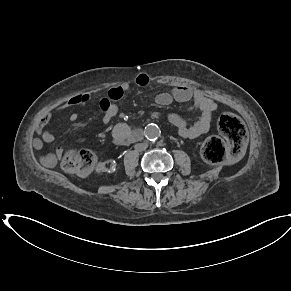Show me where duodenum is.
Wrapping results in <instances>:
<instances>
[{"label": "duodenum", "instance_id": "1", "mask_svg": "<svg viewBox=\"0 0 291 291\" xmlns=\"http://www.w3.org/2000/svg\"><path fill=\"white\" fill-rule=\"evenodd\" d=\"M142 138V131L141 130H137V131H134L132 134H131V140L132 141H136V140H140ZM117 144L119 145H123L125 143L123 142H119V141H116Z\"/></svg>", "mask_w": 291, "mask_h": 291}]
</instances>
